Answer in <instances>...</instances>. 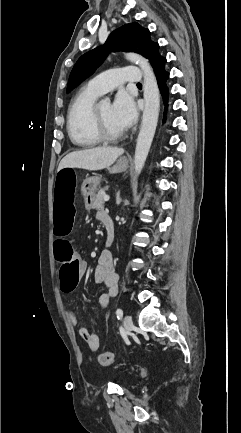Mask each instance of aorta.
<instances>
[{
	"mask_svg": "<svg viewBox=\"0 0 241 433\" xmlns=\"http://www.w3.org/2000/svg\"><path fill=\"white\" fill-rule=\"evenodd\" d=\"M125 57L127 60L139 65L144 78L145 108L134 155L135 173L140 174L156 131L160 110V96L156 77L148 60L135 53H127ZM103 102L108 103L109 99L106 98Z\"/></svg>",
	"mask_w": 241,
	"mask_h": 433,
	"instance_id": "obj_1",
	"label": "aorta"
}]
</instances>
